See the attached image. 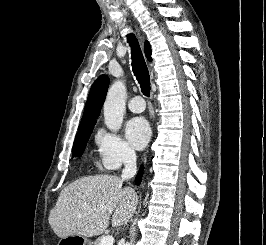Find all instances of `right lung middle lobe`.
<instances>
[{
  "label": "right lung middle lobe",
  "instance_id": "obj_1",
  "mask_svg": "<svg viewBox=\"0 0 266 245\" xmlns=\"http://www.w3.org/2000/svg\"><path fill=\"white\" fill-rule=\"evenodd\" d=\"M95 123L96 121L78 127V133L76 134L72 152L74 157H80L84 152Z\"/></svg>",
  "mask_w": 266,
  "mask_h": 245
}]
</instances>
